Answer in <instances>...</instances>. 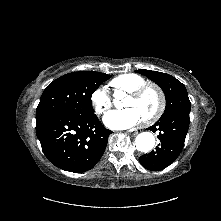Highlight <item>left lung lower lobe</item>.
Here are the masks:
<instances>
[{"mask_svg": "<svg viewBox=\"0 0 221 221\" xmlns=\"http://www.w3.org/2000/svg\"><path fill=\"white\" fill-rule=\"evenodd\" d=\"M190 112H174L160 118L148 129L159 131L161 143L155 151L142 155L139 161L143 167L151 171H159L172 164L180 155L189 128Z\"/></svg>", "mask_w": 221, "mask_h": 221, "instance_id": "left-lung-lower-lobe-1", "label": "left lung lower lobe"}]
</instances>
